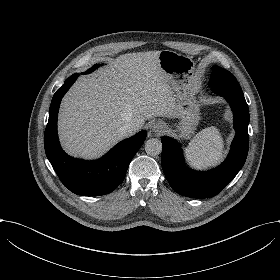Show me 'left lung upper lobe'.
<instances>
[{
    "label": "left lung upper lobe",
    "mask_w": 280,
    "mask_h": 280,
    "mask_svg": "<svg viewBox=\"0 0 280 280\" xmlns=\"http://www.w3.org/2000/svg\"><path fill=\"white\" fill-rule=\"evenodd\" d=\"M235 81L237 80L231 72L218 66L212 67V74L209 80L210 87Z\"/></svg>",
    "instance_id": "5c2ea615"
}]
</instances>
